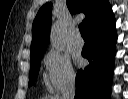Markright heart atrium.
<instances>
[{"label": "right heart atrium", "mask_w": 128, "mask_h": 99, "mask_svg": "<svg viewBox=\"0 0 128 99\" xmlns=\"http://www.w3.org/2000/svg\"><path fill=\"white\" fill-rule=\"evenodd\" d=\"M44 65L49 81L56 92H61L74 84L76 75L68 55L51 49L44 56Z\"/></svg>", "instance_id": "right-heart-atrium-1"}]
</instances>
